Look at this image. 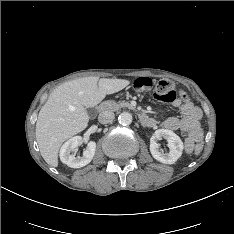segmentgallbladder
<instances>
[{"mask_svg":"<svg viewBox=\"0 0 234 234\" xmlns=\"http://www.w3.org/2000/svg\"><path fill=\"white\" fill-rule=\"evenodd\" d=\"M95 111H96V110H95L94 108H88V109H87V113H88L90 116L94 115Z\"/></svg>","mask_w":234,"mask_h":234,"instance_id":"1","label":"gallbladder"}]
</instances>
